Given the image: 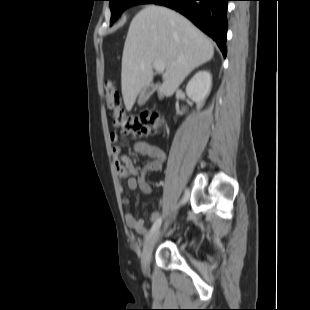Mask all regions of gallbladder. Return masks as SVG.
<instances>
[{
	"label": "gallbladder",
	"mask_w": 310,
	"mask_h": 310,
	"mask_svg": "<svg viewBox=\"0 0 310 310\" xmlns=\"http://www.w3.org/2000/svg\"><path fill=\"white\" fill-rule=\"evenodd\" d=\"M157 85L154 83H151L149 86L145 87L143 91L141 92L139 99H138V104L140 106L144 105L147 100L150 98V96L154 93L156 90Z\"/></svg>",
	"instance_id": "obj_1"
}]
</instances>
